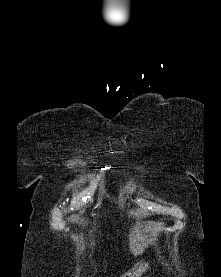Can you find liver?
Returning a JSON list of instances; mask_svg holds the SVG:
<instances>
[{
    "mask_svg": "<svg viewBox=\"0 0 221 277\" xmlns=\"http://www.w3.org/2000/svg\"><path fill=\"white\" fill-rule=\"evenodd\" d=\"M156 235L146 234L143 230V225L137 223L131 230L129 234V248L133 255L141 254L145 248L149 245L155 244Z\"/></svg>",
    "mask_w": 221,
    "mask_h": 277,
    "instance_id": "6515ba94",
    "label": "liver"
}]
</instances>
